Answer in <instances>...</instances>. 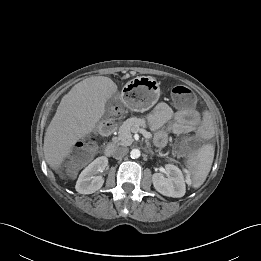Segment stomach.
<instances>
[{
    "mask_svg": "<svg viewBox=\"0 0 261 261\" xmlns=\"http://www.w3.org/2000/svg\"><path fill=\"white\" fill-rule=\"evenodd\" d=\"M160 96L157 81L151 77H137L126 83L122 90L123 105L135 112L150 109Z\"/></svg>",
    "mask_w": 261,
    "mask_h": 261,
    "instance_id": "0dacf381",
    "label": "stomach"
}]
</instances>
